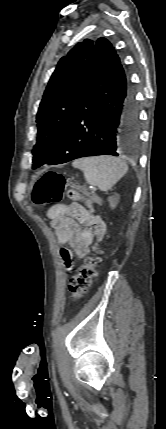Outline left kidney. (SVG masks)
<instances>
[{
    "label": "left kidney",
    "instance_id": "5707ae66",
    "mask_svg": "<svg viewBox=\"0 0 166 429\" xmlns=\"http://www.w3.org/2000/svg\"><path fill=\"white\" fill-rule=\"evenodd\" d=\"M108 201H109L110 207L112 209H114L116 207V205L118 204V201H119L118 194H114L113 196L109 197Z\"/></svg>",
    "mask_w": 166,
    "mask_h": 429
}]
</instances>
